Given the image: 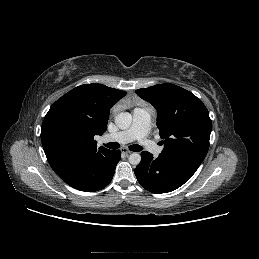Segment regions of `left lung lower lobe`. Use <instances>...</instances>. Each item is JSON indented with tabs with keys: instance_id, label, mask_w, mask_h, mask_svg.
Segmentation results:
<instances>
[{
	"instance_id": "1",
	"label": "left lung lower lobe",
	"mask_w": 259,
	"mask_h": 259,
	"mask_svg": "<svg viewBox=\"0 0 259 259\" xmlns=\"http://www.w3.org/2000/svg\"><path fill=\"white\" fill-rule=\"evenodd\" d=\"M141 163L135 169L138 182L152 193H167L176 190L188 181L201 163L175 156L141 153Z\"/></svg>"
}]
</instances>
